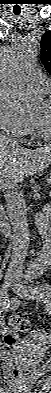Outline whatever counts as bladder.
I'll return each mask as SVG.
<instances>
[{
	"mask_svg": "<svg viewBox=\"0 0 51 393\" xmlns=\"http://www.w3.org/2000/svg\"><path fill=\"white\" fill-rule=\"evenodd\" d=\"M23 368L29 374V380L38 379L47 374L49 371V366L47 363H41L39 365H29L25 363Z\"/></svg>",
	"mask_w": 51,
	"mask_h": 393,
	"instance_id": "bladder-1",
	"label": "bladder"
}]
</instances>
